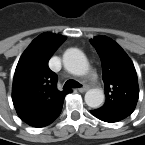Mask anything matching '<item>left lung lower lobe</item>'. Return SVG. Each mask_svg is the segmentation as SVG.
I'll return each instance as SVG.
<instances>
[{"label": "left lung lower lobe", "mask_w": 145, "mask_h": 145, "mask_svg": "<svg viewBox=\"0 0 145 145\" xmlns=\"http://www.w3.org/2000/svg\"><path fill=\"white\" fill-rule=\"evenodd\" d=\"M91 113L95 116V117H97L98 119H100V120H102V121H105V122H110V123H112V122H117V121H119V120H121V119H118V118H116V117H113V116H111V115H109V114H106V113H104V112H102V111H100V110H94V111H91Z\"/></svg>", "instance_id": "0a47b994"}]
</instances>
